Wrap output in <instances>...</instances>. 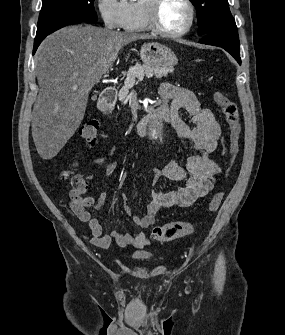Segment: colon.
I'll return each mask as SVG.
<instances>
[{"label": "colon", "instance_id": "1", "mask_svg": "<svg viewBox=\"0 0 285 335\" xmlns=\"http://www.w3.org/2000/svg\"><path fill=\"white\" fill-rule=\"evenodd\" d=\"M214 102L221 108L224 118L229 128V153H230V167L233 165L240 147L241 123L237 104L233 102L228 96L220 91L213 93ZM101 125L99 121L91 119L86 121L79 128V136L87 144L94 145L98 140V135ZM65 175L70 181L77 186L79 178L72 176L71 172H66ZM224 193L218 191L214 194L210 201L207 211L209 213L216 212L221 205ZM195 230V224L189 222H170L152 229L151 237L160 242L172 241L174 239L191 234Z\"/></svg>", "mask_w": 285, "mask_h": 335}]
</instances>
